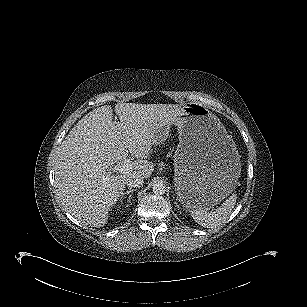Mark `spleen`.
Masks as SVG:
<instances>
[{
    "mask_svg": "<svg viewBox=\"0 0 307 307\" xmlns=\"http://www.w3.org/2000/svg\"><path fill=\"white\" fill-rule=\"evenodd\" d=\"M237 196L232 194L215 211L210 210L208 206H197L191 208L192 218L201 226L206 228H216L222 225L232 213L236 204Z\"/></svg>",
    "mask_w": 307,
    "mask_h": 307,
    "instance_id": "1",
    "label": "spleen"
}]
</instances>
